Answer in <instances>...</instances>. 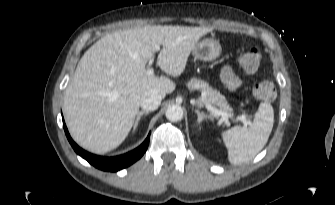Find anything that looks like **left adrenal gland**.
<instances>
[{
	"label": "left adrenal gland",
	"instance_id": "left-adrenal-gland-1",
	"mask_svg": "<svg viewBox=\"0 0 335 205\" xmlns=\"http://www.w3.org/2000/svg\"><path fill=\"white\" fill-rule=\"evenodd\" d=\"M195 113H196L197 116H198L197 121H198L199 124H200V123L202 122V120L205 119V118H212L211 115H207V114H205L204 112H200L198 109L195 110Z\"/></svg>",
	"mask_w": 335,
	"mask_h": 205
}]
</instances>
